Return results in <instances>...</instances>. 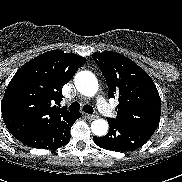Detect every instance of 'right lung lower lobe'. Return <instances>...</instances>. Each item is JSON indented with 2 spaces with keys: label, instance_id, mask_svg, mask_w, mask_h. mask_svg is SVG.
Instances as JSON below:
<instances>
[{
  "label": "right lung lower lobe",
  "instance_id": "obj_1",
  "mask_svg": "<svg viewBox=\"0 0 182 182\" xmlns=\"http://www.w3.org/2000/svg\"><path fill=\"white\" fill-rule=\"evenodd\" d=\"M80 116L81 114L76 112L72 117L53 126L34 131L17 139L32 148L55 149L62 147L70 141L71 127Z\"/></svg>",
  "mask_w": 182,
  "mask_h": 182
}]
</instances>
